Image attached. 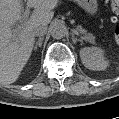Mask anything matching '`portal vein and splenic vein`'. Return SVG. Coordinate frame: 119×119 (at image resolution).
<instances>
[{
	"instance_id": "18ae733b",
	"label": "portal vein and splenic vein",
	"mask_w": 119,
	"mask_h": 119,
	"mask_svg": "<svg viewBox=\"0 0 119 119\" xmlns=\"http://www.w3.org/2000/svg\"><path fill=\"white\" fill-rule=\"evenodd\" d=\"M29 16V9L27 8L25 11H24V14H23V17L24 19H26L27 17ZM20 31V27H17L14 32L15 33H18ZM75 34L79 35V33L77 31H75Z\"/></svg>"
}]
</instances>
